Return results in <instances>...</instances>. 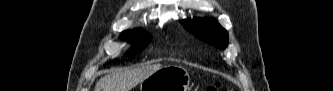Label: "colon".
Instances as JSON below:
<instances>
[{"mask_svg":"<svg viewBox=\"0 0 333 91\" xmlns=\"http://www.w3.org/2000/svg\"><path fill=\"white\" fill-rule=\"evenodd\" d=\"M219 90H220L219 83L212 84L205 89V91H219Z\"/></svg>","mask_w":333,"mask_h":91,"instance_id":"colon-1","label":"colon"}]
</instances>
